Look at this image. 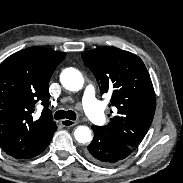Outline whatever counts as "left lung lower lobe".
I'll return each mask as SVG.
<instances>
[{
  "label": "left lung lower lobe",
  "mask_w": 183,
  "mask_h": 183,
  "mask_svg": "<svg viewBox=\"0 0 183 183\" xmlns=\"http://www.w3.org/2000/svg\"><path fill=\"white\" fill-rule=\"evenodd\" d=\"M94 138L87 147L86 156L100 164H111L126 158L132 151V147L108 136L104 131L93 125Z\"/></svg>",
  "instance_id": "0a47b994"
}]
</instances>
